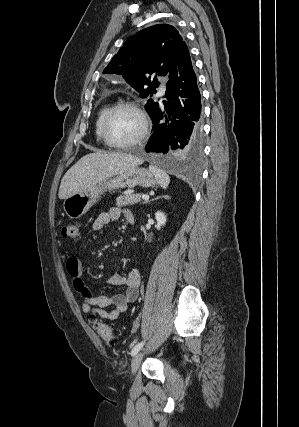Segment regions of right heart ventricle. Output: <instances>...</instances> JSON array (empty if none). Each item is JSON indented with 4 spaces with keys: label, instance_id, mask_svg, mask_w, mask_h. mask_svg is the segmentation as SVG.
Listing matches in <instances>:
<instances>
[{
    "label": "right heart ventricle",
    "instance_id": "obj_1",
    "mask_svg": "<svg viewBox=\"0 0 299 427\" xmlns=\"http://www.w3.org/2000/svg\"><path fill=\"white\" fill-rule=\"evenodd\" d=\"M112 103H106L104 104L98 111L96 119H95V127H94V134H95V139L96 142L101 145V146H105V143L102 139L101 136V124L103 121V118L105 116V114L107 113V111L112 107Z\"/></svg>",
    "mask_w": 299,
    "mask_h": 427
}]
</instances>
